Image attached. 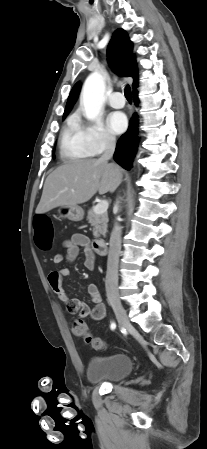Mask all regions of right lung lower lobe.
Segmentation results:
<instances>
[{
    "mask_svg": "<svg viewBox=\"0 0 207 449\" xmlns=\"http://www.w3.org/2000/svg\"><path fill=\"white\" fill-rule=\"evenodd\" d=\"M133 99L137 106L139 100L136 90L133 91ZM138 123V115L134 114L130 120L127 132L118 140L114 153V160L127 170L132 166V161L138 147Z\"/></svg>",
    "mask_w": 207,
    "mask_h": 449,
    "instance_id": "1",
    "label": "right lung lower lobe"
}]
</instances>
